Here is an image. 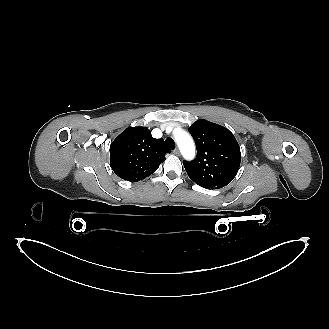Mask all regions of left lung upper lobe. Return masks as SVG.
Masks as SVG:
<instances>
[{
	"label": "left lung upper lobe",
	"instance_id": "left-lung-upper-lobe-1",
	"mask_svg": "<svg viewBox=\"0 0 329 329\" xmlns=\"http://www.w3.org/2000/svg\"><path fill=\"white\" fill-rule=\"evenodd\" d=\"M189 131L197 147L195 160L183 163L190 179L208 189L228 185L241 162L234 135L227 128L204 119L193 123Z\"/></svg>",
	"mask_w": 329,
	"mask_h": 329
}]
</instances>
